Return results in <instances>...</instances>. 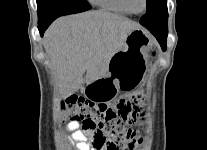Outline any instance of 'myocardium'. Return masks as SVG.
<instances>
[{
	"mask_svg": "<svg viewBox=\"0 0 207 150\" xmlns=\"http://www.w3.org/2000/svg\"><path fill=\"white\" fill-rule=\"evenodd\" d=\"M126 7L128 8V10L132 13V14H143L146 10H147V6H148V1L144 0V7L141 11H135L132 6H131V1L130 0H123Z\"/></svg>",
	"mask_w": 207,
	"mask_h": 150,
	"instance_id": "obj_1",
	"label": "myocardium"
}]
</instances>
